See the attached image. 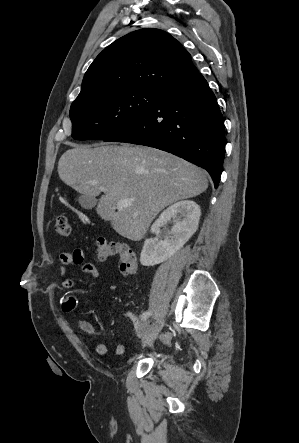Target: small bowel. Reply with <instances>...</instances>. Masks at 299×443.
<instances>
[{"label": "small bowel", "mask_w": 299, "mask_h": 443, "mask_svg": "<svg viewBox=\"0 0 299 443\" xmlns=\"http://www.w3.org/2000/svg\"><path fill=\"white\" fill-rule=\"evenodd\" d=\"M86 254L82 249H75L73 252H63L59 256L60 261V272L62 275L65 274L66 269L65 267L71 264L74 265H81V269L84 273L90 274L94 278L100 277V272L96 265L92 262H86L85 261ZM61 286L65 290H71L75 286V281L72 278H63L61 282ZM76 301L73 297H69L63 304V308L65 311H71L75 308ZM124 317L128 318L132 321L134 326L135 334L141 338L143 337V332L141 329V325L139 322V319L130 312L124 313ZM80 328L89 335L95 334V328L94 326L87 322V321H80L79 322ZM95 351L99 355H105L108 352V346L104 342H97L95 344ZM114 354L116 356H121L125 353V345L123 343H117L114 346Z\"/></svg>", "instance_id": "obj_1"}]
</instances>
